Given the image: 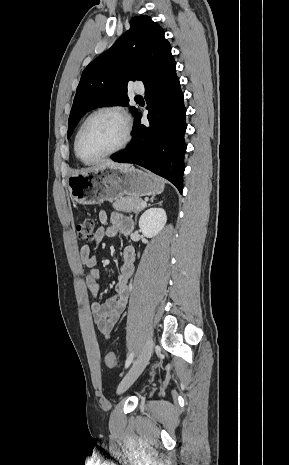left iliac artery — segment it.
Returning <instances> with one entry per match:
<instances>
[{
  "label": "left iliac artery",
  "instance_id": "44dca946",
  "mask_svg": "<svg viewBox=\"0 0 289 465\" xmlns=\"http://www.w3.org/2000/svg\"><path fill=\"white\" fill-rule=\"evenodd\" d=\"M133 357H134V353L131 352V353L129 354V356L127 357V359H126L125 368H128L129 365L132 363Z\"/></svg>",
  "mask_w": 289,
  "mask_h": 465
}]
</instances>
